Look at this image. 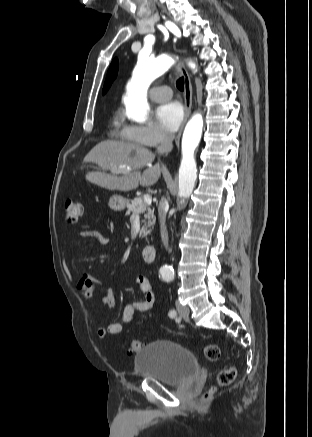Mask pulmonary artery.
<instances>
[{
	"instance_id": "1",
	"label": "pulmonary artery",
	"mask_w": 312,
	"mask_h": 437,
	"mask_svg": "<svg viewBox=\"0 0 312 437\" xmlns=\"http://www.w3.org/2000/svg\"><path fill=\"white\" fill-rule=\"evenodd\" d=\"M150 98L156 102H164L172 97V91L167 86H154L149 92Z\"/></svg>"
}]
</instances>
